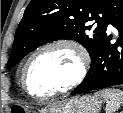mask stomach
I'll return each mask as SVG.
<instances>
[{
    "label": "stomach",
    "instance_id": "1",
    "mask_svg": "<svg viewBox=\"0 0 123 113\" xmlns=\"http://www.w3.org/2000/svg\"><path fill=\"white\" fill-rule=\"evenodd\" d=\"M101 104L102 100L99 96H77L43 109L41 113H98Z\"/></svg>",
    "mask_w": 123,
    "mask_h": 113
}]
</instances>
